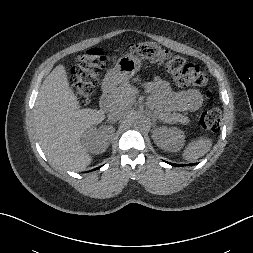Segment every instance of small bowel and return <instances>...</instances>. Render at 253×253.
<instances>
[{
	"label": "small bowel",
	"instance_id": "obj_1",
	"mask_svg": "<svg viewBox=\"0 0 253 253\" xmlns=\"http://www.w3.org/2000/svg\"><path fill=\"white\" fill-rule=\"evenodd\" d=\"M151 87L171 110L193 112L202 105V95L200 91L195 88L175 92L166 81L160 78H156Z\"/></svg>",
	"mask_w": 253,
	"mask_h": 253
}]
</instances>
